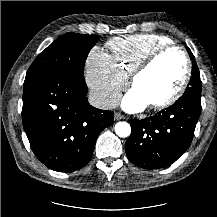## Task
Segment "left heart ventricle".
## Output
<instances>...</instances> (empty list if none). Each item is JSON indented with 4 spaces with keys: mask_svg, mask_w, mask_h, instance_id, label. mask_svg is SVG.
<instances>
[{
    "mask_svg": "<svg viewBox=\"0 0 217 217\" xmlns=\"http://www.w3.org/2000/svg\"><path fill=\"white\" fill-rule=\"evenodd\" d=\"M185 63L180 53L168 52L160 56L156 62L136 81V90L147 102L162 100L178 88L184 76Z\"/></svg>",
    "mask_w": 217,
    "mask_h": 217,
    "instance_id": "obj_1",
    "label": "left heart ventricle"
}]
</instances>
